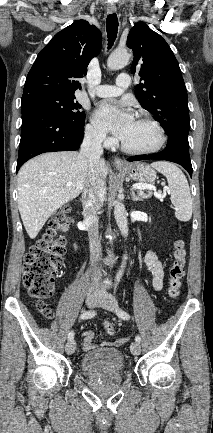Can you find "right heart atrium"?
Masks as SVG:
<instances>
[{"label": "right heart atrium", "instance_id": "right-heart-atrium-1", "mask_svg": "<svg viewBox=\"0 0 213 433\" xmlns=\"http://www.w3.org/2000/svg\"><path fill=\"white\" fill-rule=\"evenodd\" d=\"M86 137L94 143L110 145L112 140L106 135V133L99 127L89 124L85 129Z\"/></svg>", "mask_w": 213, "mask_h": 433}]
</instances>
